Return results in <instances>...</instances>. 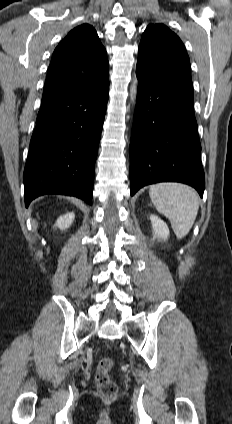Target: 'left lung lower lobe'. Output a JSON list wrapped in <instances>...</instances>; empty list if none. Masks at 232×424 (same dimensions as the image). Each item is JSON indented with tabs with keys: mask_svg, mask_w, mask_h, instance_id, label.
Here are the masks:
<instances>
[{
	"mask_svg": "<svg viewBox=\"0 0 232 424\" xmlns=\"http://www.w3.org/2000/svg\"><path fill=\"white\" fill-rule=\"evenodd\" d=\"M137 102L130 140V193L173 181L205 188L191 76L151 77L136 71Z\"/></svg>",
	"mask_w": 232,
	"mask_h": 424,
	"instance_id": "obj_1",
	"label": "left lung lower lobe"
}]
</instances>
